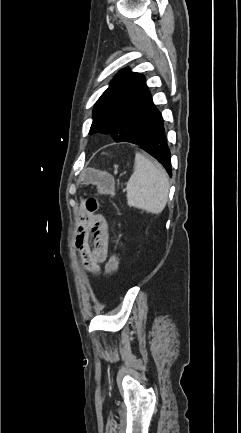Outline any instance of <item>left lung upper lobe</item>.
<instances>
[{"label":"left lung upper lobe","instance_id":"obj_1","mask_svg":"<svg viewBox=\"0 0 241 433\" xmlns=\"http://www.w3.org/2000/svg\"><path fill=\"white\" fill-rule=\"evenodd\" d=\"M145 77L123 69L96 102L89 134H111L126 142L145 131L159 116Z\"/></svg>","mask_w":241,"mask_h":433}]
</instances>
